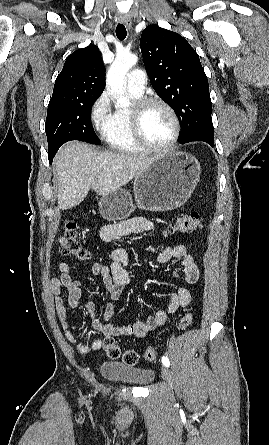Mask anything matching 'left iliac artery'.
<instances>
[{"label": "left iliac artery", "mask_w": 269, "mask_h": 445, "mask_svg": "<svg viewBox=\"0 0 269 445\" xmlns=\"http://www.w3.org/2000/svg\"><path fill=\"white\" fill-rule=\"evenodd\" d=\"M162 363L166 367H169V365H170L169 359L166 356L162 357Z\"/></svg>", "instance_id": "left-iliac-artery-1"}]
</instances>
